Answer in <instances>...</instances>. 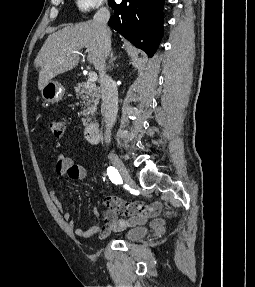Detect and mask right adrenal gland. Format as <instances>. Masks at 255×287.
Here are the masks:
<instances>
[{"label": "right adrenal gland", "instance_id": "1", "mask_svg": "<svg viewBox=\"0 0 255 287\" xmlns=\"http://www.w3.org/2000/svg\"><path fill=\"white\" fill-rule=\"evenodd\" d=\"M114 60H117V56H116V58H114V52H111L109 64H112V62H114Z\"/></svg>", "mask_w": 255, "mask_h": 287}]
</instances>
